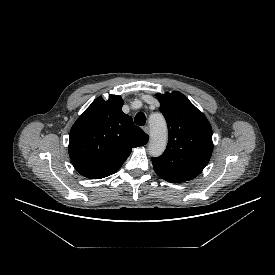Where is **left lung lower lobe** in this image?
Wrapping results in <instances>:
<instances>
[{
  "mask_svg": "<svg viewBox=\"0 0 275 275\" xmlns=\"http://www.w3.org/2000/svg\"><path fill=\"white\" fill-rule=\"evenodd\" d=\"M155 171H156V170H155ZM156 173H157L161 178H163V179L166 180V181H169V182H172V183L183 182L182 180H180V179H178V178L169 176V175H167V174H162V173H160L159 171H156Z\"/></svg>",
  "mask_w": 275,
  "mask_h": 275,
  "instance_id": "0a47b994",
  "label": "left lung lower lobe"
}]
</instances>
